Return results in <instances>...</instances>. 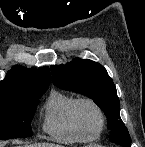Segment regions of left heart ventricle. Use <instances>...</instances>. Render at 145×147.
<instances>
[{"mask_svg": "<svg viewBox=\"0 0 145 147\" xmlns=\"http://www.w3.org/2000/svg\"><path fill=\"white\" fill-rule=\"evenodd\" d=\"M83 120L89 133H95L99 127V119L91 107H84L82 110Z\"/></svg>", "mask_w": 145, "mask_h": 147, "instance_id": "left-heart-ventricle-1", "label": "left heart ventricle"}]
</instances>
